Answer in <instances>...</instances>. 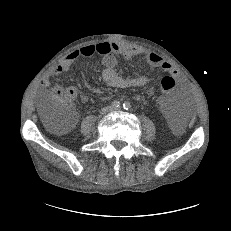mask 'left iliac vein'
Returning a JSON list of instances; mask_svg holds the SVG:
<instances>
[{"mask_svg": "<svg viewBox=\"0 0 231 231\" xmlns=\"http://www.w3.org/2000/svg\"><path fill=\"white\" fill-rule=\"evenodd\" d=\"M119 110H120L119 107H113V108H112V111H119Z\"/></svg>", "mask_w": 231, "mask_h": 231, "instance_id": "4c4485c4", "label": "left iliac vein"}]
</instances>
